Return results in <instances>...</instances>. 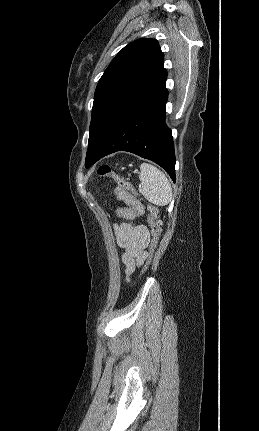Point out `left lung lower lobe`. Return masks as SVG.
<instances>
[{"mask_svg": "<svg viewBox=\"0 0 259 431\" xmlns=\"http://www.w3.org/2000/svg\"><path fill=\"white\" fill-rule=\"evenodd\" d=\"M166 78L121 118L86 168L106 155L128 151L154 161L175 181L174 143L171 129L165 122Z\"/></svg>", "mask_w": 259, "mask_h": 431, "instance_id": "1", "label": "left lung lower lobe"}]
</instances>
